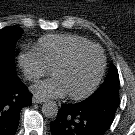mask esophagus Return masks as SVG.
Here are the masks:
<instances>
[{
    "instance_id": "34e87169",
    "label": "esophagus",
    "mask_w": 135,
    "mask_h": 135,
    "mask_svg": "<svg viewBox=\"0 0 135 135\" xmlns=\"http://www.w3.org/2000/svg\"><path fill=\"white\" fill-rule=\"evenodd\" d=\"M32 102L33 103H43V102H45V99L39 98V97L34 95L32 98Z\"/></svg>"
}]
</instances>
